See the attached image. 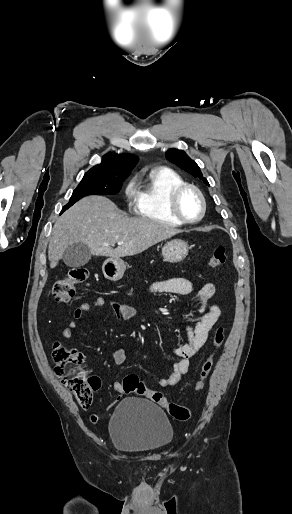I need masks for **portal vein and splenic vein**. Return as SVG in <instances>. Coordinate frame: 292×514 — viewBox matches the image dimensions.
<instances>
[{"label": "portal vein and splenic vein", "mask_w": 292, "mask_h": 514, "mask_svg": "<svg viewBox=\"0 0 292 514\" xmlns=\"http://www.w3.org/2000/svg\"><path fill=\"white\" fill-rule=\"evenodd\" d=\"M118 244H123V242H118Z\"/></svg>", "instance_id": "portal-vein-and-splenic-vein-1"}]
</instances>
